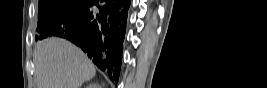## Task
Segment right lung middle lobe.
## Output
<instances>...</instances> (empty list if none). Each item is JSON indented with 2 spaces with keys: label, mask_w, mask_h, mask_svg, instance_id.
Here are the masks:
<instances>
[{
  "label": "right lung middle lobe",
  "mask_w": 267,
  "mask_h": 88,
  "mask_svg": "<svg viewBox=\"0 0 267 88\" xmlns=\"http://www.w3.org/2000/svg\"><path fill=\"white\" fill-rule=\"evenodd\" d=\"M89 2L90 0H39L37 31L41 35L36 36V40L48 37L54 25L71 18Z\"/></svg>",
  "instance_id": "dd1d6c3e"
}]
</instances>
